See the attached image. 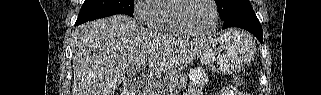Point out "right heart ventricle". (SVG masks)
Returning <instances> with one entry per match:
<instances>
[{
	"label": "right heart ventricle",
	"instance_id": "right-heart-ventricle-1",
	"mask_svg": "<svg viewBox=\"0 0 321 95\" xmlns=\"http://www.w3.org/2000/svg\"><path fill=\"white\" fill-rule=\"evenodd\" d=\"M176 0H158L155 3L154 13L148 26L153 31L185 34L176 29L170 21V11Z\"/></svg>",
	"mask_w": 321,
	"mask_h": 95
}]
</instances>
